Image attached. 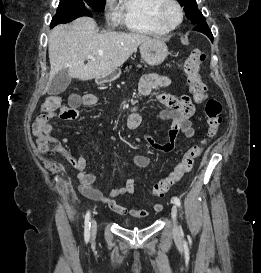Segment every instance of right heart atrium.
<instances>
[{"label":"right heart atrium","mask_w":261,"mask_h":273,"mask_svg":"<svg viewBox=\"0 0 261 273\" xmlns=\"http://www.w3.org/2000/svg\"><path fill=\"white\" fill-rule=\"evenodd\" d=\"M112 0H107V4H109Z\"/></svg>","instance_id":"d8ad5b80"}]
</instances>
